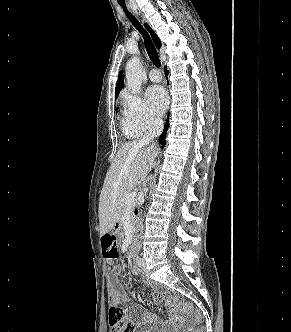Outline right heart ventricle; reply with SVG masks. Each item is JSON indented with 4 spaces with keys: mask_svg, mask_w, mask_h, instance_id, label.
I'll return each instance as SVG.
<instances>
[{
    "mask_svg": "<svg viewBox=\"0 0 291 332\" xmlns=\"http://www.w3.org/2000/svg\"><path fill=\"white\" fill-rule=\"evenodd\" d=\"M123 130H124V133L127 137H130V138H136L140 135L139 132H137L135 129H133L132 127H130L127 123H126V120L124 119L123 121Z\"/></svg>",
    "mask_w": 291,
    "mask_h": 332,
    "instance_id": "right-heart-ventricle-1",
    "label": "right heart ventricle"
}]
</instances>
